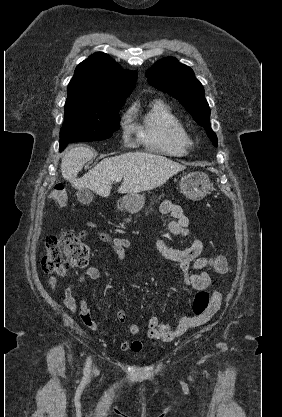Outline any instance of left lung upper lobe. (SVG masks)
<instances>
[{
    "mask_svg": "<svg viewBox=\"0 0 282 417\" xmlns=\"http://www.w3.org/2000/svg\"><path fill=\"white\" fill-rule=\"evenodd\" d=\"M146 77L152 86L176 98L193 119L204 127L217 147V137L210 127V109L204 88L190 67L179 63L176 58H163L147 70Z\"/></svg>",
    "mask_w": 282,
    "mask_h": 417,
    "instance_id": "left-lung-upper-lobe-1",
    "label": "left lung upper lobe"
}]
</instances>
